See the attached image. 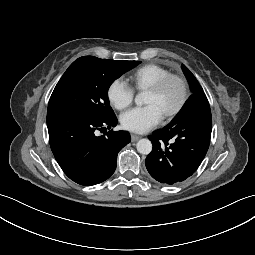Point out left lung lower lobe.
<instances>
[{
    "mask_svg": "<svg viewBox=\"0 0 255 255\" xmlns=\"http://www.w3.org/2000/svg\"><path fill=\"white\" fill-rule=\"evenodd\" d=\"M212 118L204 92L194 93L166 127L149 136L153 144L145 165L150 175L164 184L190 177L209 148Z\"/></svg>",
    "mask_w": 255,
    "mask_h": 255,
    "instance_id": "obj_1",
    "label": "left lung lower lobe"
}]
</instances>
